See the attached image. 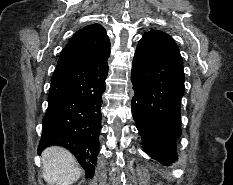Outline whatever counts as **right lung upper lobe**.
Instances as JSON below:
<instances>
[{
  "mask_svg": "<svg viewBox=\"0 0 233 185\" xmlns=\"http://www.w3.org/2000/svg\"><path fill=\"white\" fill-rule=\"evenodd\" d=\"M109 55L110 41L105 29L99 24H92L74 34L62 50L56 68L96 66L107 62Z\"/></svg>",
  "mask_w": 233,
  "mask_h": 185,
  "instance_id": "right-lung-upper-lobe-1",
  "label": "right lung upper lobe"
}]
</instances>
